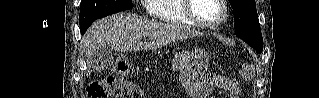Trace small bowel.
<instances>
[{"instance_id": "small-bowel-1", "label": "small bowel", "mask_w": 319, "mask_h": 98, "mask_svg": "<svg viewBox=\"0 0 319 98\" xmlns=\"http://www.w3.org/2000/svg\"><path fill=\"white\" fill-rule=\"evenodd\" d=\"M208 85L211 89L224 88L229 92L227 98H236L240 94V87L235 80L225 78L219 75L208 77Z\"/></svg>"}]
</instances>
